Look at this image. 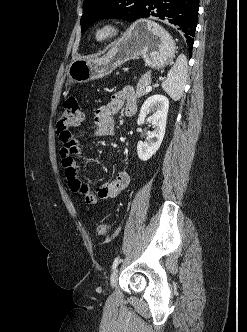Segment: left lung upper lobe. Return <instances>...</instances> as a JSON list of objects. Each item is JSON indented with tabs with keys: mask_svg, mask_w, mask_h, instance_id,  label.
Returning <instances> with one entry per match:
<instances>
[{
	"mask_svg": "<svg viewBox=\"0 0 247 332\" xmlns=\"http://www.w3.org/2000/svg\"><path fill=\"white\" fill-rule=\"evenodd\" d=\"M147 0H84L81 28L84 33L94 22L103 18L135 21Z\"/></svg>",
	"mask_w": 247,
	"mask_h": 332,
	"instance_id": "left-lung-upper-lobe-1",
	"label": "left lung upper lobe"
}]
</instances>
